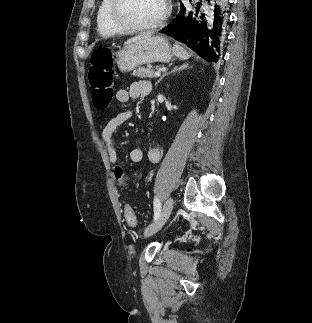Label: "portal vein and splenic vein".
<instances>
[{"label":"portal vein and splenic vein","instance_id":"18ae733b","mask_svg":"<svg viewBox=\"0 0 312 323\" xmlns=\"http://www.w3.org/2000/svg\"><path fill=\"white\" fill-rule=\"evenodd\" d=\"M155 76H161V72H155Z\"/></svg>","mask_w":312,"mask_h":323}]
</instances>
